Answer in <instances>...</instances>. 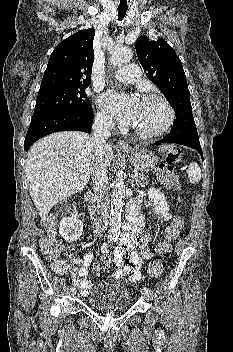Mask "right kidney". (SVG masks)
<instances>
[{
    "instance_id": "1",
    "label": "right kidney",
    "mask_w": 233,
    "mask_h": 352,
    "mask_svg": "<svg viewBox=\"0 0 233 352\" xmlns=\"http://www.w3.org/2000/svg\"><path fill=\"white\" fill-rule=\"evenodd\" d=\"M83 231V223L77 219V211L74 208L69 216L64 217L59 226L60 235L68 242L77 240Z\"/></svg>"
}]
</instances>
